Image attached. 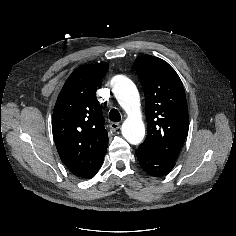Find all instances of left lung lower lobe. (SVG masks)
<instances>
[{"label": "left lung lower lobe", "mask_w": 236, "mask_h": 236, "mask_svg": "<svg viewBox=\"0 0 236 236\" xmlns=\"http://www.w3.org/2000/svg\"><path fill=\"white\" fill-rule=\"evenodd\" d=\"M136 155L143 170L154 177L168 174L175 166L174 162L166 160L142 146H139Z\"/></svg>", "instance_id": "1"}]
</instances>
